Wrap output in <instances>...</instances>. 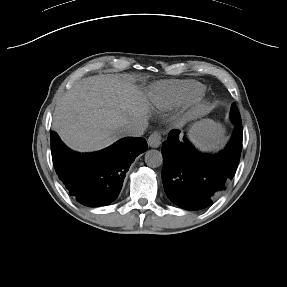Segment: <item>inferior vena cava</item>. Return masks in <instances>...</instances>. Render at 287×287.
I'll use <instances>...</instances> for the list:
<instances>
[{"label":"inferior vena cava","mask_w":287,"mask_h":287,"mask_svg":"<svg viewBox=\"0 0 287 287\" xmlns=\"http://www.w3.org/2000/svg\"><path fill=\"white\" fill-rule=\"evenodd\" d=\"M147 127H148L147 119L140 118L124 125L122 128V133L124 136L128 137H139L144 134Z\"/></svg>","instance_id":"inferior-vena-cava-1"}]
</instances>
